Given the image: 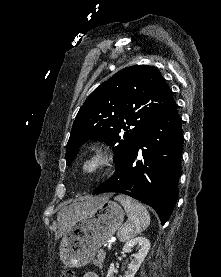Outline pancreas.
Returning a JSON list of instances; mask_svg holds the SVG:
<instances>
[{
  "instance_id": "obj_1",
  "label": "pancreas",
  "mask_w": 221,
  "mask_h": 277,
  "mask_svg": "<svg viewBox=\"0 0 221 277\" xmlns=\"http://www.w3.org/2000/svg\"><path fill=\"white\" fill-rule=\"evenodd\" d=\"M105 258V252H102L101 250L98 251L97 258L93 261V264L99 268L103 267V262Z\"/></svg>"
}]
</instances>
